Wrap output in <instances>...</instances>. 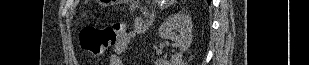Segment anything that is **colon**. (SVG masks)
<instances>
[{"label": "colon", "instance_id": "1", "mask_svg": "<svg viewBox=\"0 0 309 65\" xmlns=\"http://www.w3.org/2000/svg\"><path fill=\"white\" fill-rule=\"evenodd\" d=\"M124 30V25L120 23L85 27L79 34L80 45L90 55L97 57L115 45Z\"/></svg>", "mask_w": 309, "mask_h": 65}]
</instances>
